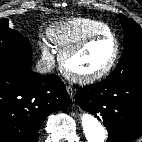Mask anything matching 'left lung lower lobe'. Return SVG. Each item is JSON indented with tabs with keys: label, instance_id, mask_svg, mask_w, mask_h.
<instances>
[{
	"label": "left lung lower lobe",
	"instance_id": "0a47b994",
	"mask_svg": "<svg viewBox=\"0 0 142 142\" xmlns=\"http://www.w3.org/2000/svg\"><path fill=\"white\" fill-rule=\"evenodd\" d=\"M75 101L104 122L109 132L106 142H131L142 135V74L85 86Z\"/></svg>",
	"mask_w": 142,
	"mask_h": 142
}]
</instances>
